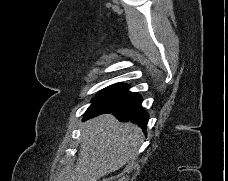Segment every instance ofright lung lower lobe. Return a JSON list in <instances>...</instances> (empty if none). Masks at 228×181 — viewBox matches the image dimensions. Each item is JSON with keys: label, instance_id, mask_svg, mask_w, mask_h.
<instances>
[{"label": "right lung lower lobe", "instance_id": "1", "mask_svg": "<svg viewBox=\"0 0 228 181\" xmlns=\"http://www.w3.org/2000/svg\"><path fill=\"white\" fill-rule=\"evenodd\" d=\"M142 98L137 93L128 91V87L117 97L106 104L89 109L85 112L83 120L93 118L103 113H112L119 120L131 121L138 124L146 133L148 113L141 106Z\"/></svg>", "mask_w": 228, "mask_h": 181}]
</instances>
